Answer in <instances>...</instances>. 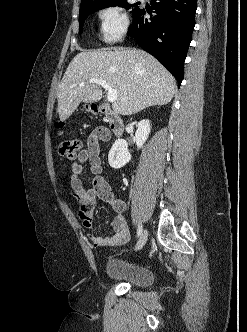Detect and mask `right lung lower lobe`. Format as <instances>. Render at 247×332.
<instances>
[{"mask_svg": "<svg viewBox=\"0 0 247 332\" xmlns=\"http://www.w3.org/2000/svg\"><path fill=\"white\" fill-rule=\"evenodd\" d=\"M151 8L157 15L150 19L146 18L148 11L137 10L127 35L162 63L180 86L195 26L197 0H157L152 1Z\"/></svg>", "mask_w": 247, "mask_h": 332, "instance_id": "obj_1", "label": "right lung lower lobe"}]
</instances>
